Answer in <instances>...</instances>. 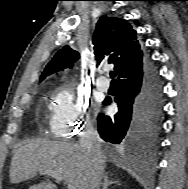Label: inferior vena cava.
I'll return each mask as SVG.
<instances>
[{
  "mask_svg": "<svg viewBox=\"0 0 188 189\" xmlns=\"http://www.w3.org/2000/svg\"><path fill=\"white\" fill-rule=\"evenodd\" d=\"M80 147L90 160L91 170L88 189H99L104 175L101 139L92 123H87L80 135Z\"/></svg>",
  "mask_w": 188,
  "mask_h": 189,
  "instance_id": "602c4592",
  "label": "inferior vena cava"
}]
</instances>
